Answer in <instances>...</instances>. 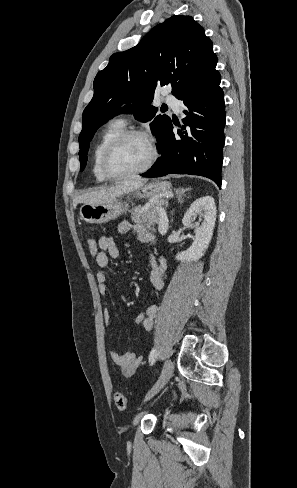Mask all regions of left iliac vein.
<instances>
[{"instance_id": "left-iliac-vein-1", "label": "left iliac vein", "mask_w": 297, "mask_h": 488, "mask_svg": "<svg viewBox=\"0 0 297 488\" xmlns=\"http://www.w3.org/2000/svg\"><path fill=\"white\" fill-rule=\"evenodd\" d=\"M173 368H174V366H173L172 361L166 360L158 381L153 386V388L148 392L145 400H148L151 397H153L155 394H157L166 385V383L169 381V379L172 376Z\"/></svg>"}]
</instances>
